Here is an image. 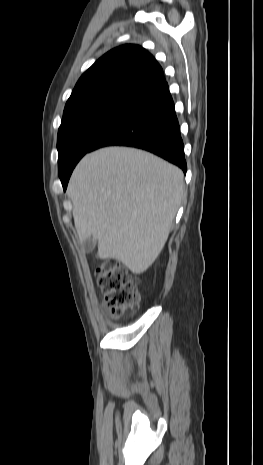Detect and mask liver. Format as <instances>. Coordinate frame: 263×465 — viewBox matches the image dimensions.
<instances>
[{
  "label": "liver",
  "instance_id": "1",
  "mask_svg": "<svg viewBox=\"0 0 263 465\" xmlns=\"http://www.w3.org/2000/svg\"><path fill=\"white\" fill-rule=\"evenodd\" d=\"M79 240L98 257L145 272L162 251L184 195L176 166L134 148L107 147L82 158L68 185Z\"/></svg>",
  "mask_w": 263,
  "mask_h": 465
}]
</instances>
